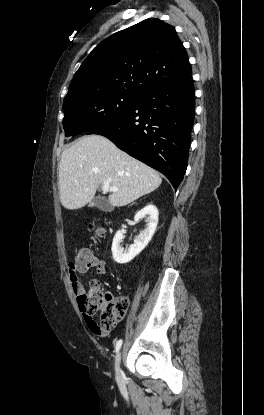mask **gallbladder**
Segmentation results:
<instances>
[{"instance_id":"gallbladder-1","label":"gallbladder","mask_w":264,"mask_h":415,"mask_svg":"<svg viewBox=\"0 0 264 415\" xmlns=\"http://www.w3.org/2000/svg\"><path fill=\"white\" fill-rule=\"evenodd\" d=\"M90 206H96L101 210H109V203L102 197H96L90 202Z\"/></svg>"}]
</instances>
